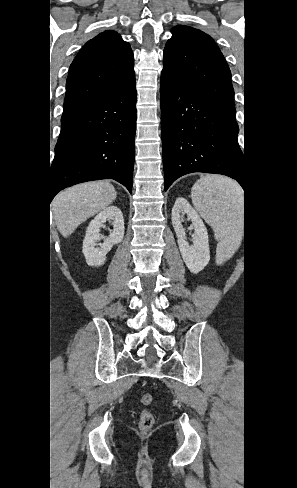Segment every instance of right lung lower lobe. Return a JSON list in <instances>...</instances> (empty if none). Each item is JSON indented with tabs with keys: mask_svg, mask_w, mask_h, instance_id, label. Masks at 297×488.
<instances>
[{
	"mask_svg": "<svg viewBox=\"0 0 297 488\" xmlns=\"http://www.w3.org/2000/svg\"><path fill=\"white\" fill-rule=\"evenodd\" d=\"M51 166L50 198L74 184L114 179L131 193L135 155V75L61 118Z\"/></svg>",
	"mask_w": 297,
	"mask_h": 488,
	"instance_id": "98d812e1",
	"label": "right lung lower lobe"
}]
</instances>
